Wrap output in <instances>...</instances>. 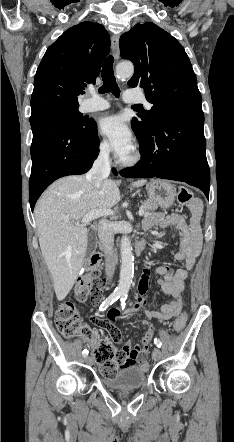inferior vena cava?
<instances>
[{
  "mask_svg": "<svg viewBox=\"0 0 234 442\" xmlns=\"http://www.w3.org/2000/svg\"><path fill=\"white\" fill-rule=\"evenodd\" d=\"M110 174L109 149L101 148L97 159L92 168L86 174V179L99 188L101 183L108 178ZM98 236L105 249V273L108 280H111L115 271L113 260L114 233L107 220L99 222Z\"/></svg>",
  "mask_w": 234,
  "mask_h": 442,
  "instance_id": "1",
  "label": "inferior vena cava"
}]
</instances>
